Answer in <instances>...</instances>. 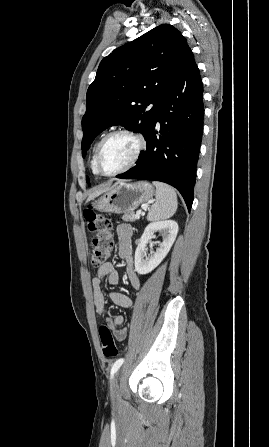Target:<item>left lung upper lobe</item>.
<instances>
[{"instance_id": "obj_1", "label": "left lung upper lobe", "mask_w": 269, "mask_h": 447, "mask_svg": "<svg viewBox=\"0 0 269 447\" xmlns=\"http://www.w3.org/2000/svg\"><path fill=\"white\" fill-rule=\"evenodd\" d=\"M188 49L185 37L163 24L103 58L87 91L83 157L94 138L110 126L122 125L146 136ZM149 104L154 106L147 110Z\"/></svg>"}]
</instances>
